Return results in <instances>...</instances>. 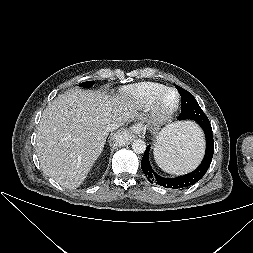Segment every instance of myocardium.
I'll return each instance as SVG.
<instances>
[{
    "label": "myocardium",
    "mask_w": 253,
    "mask_h": 253,
    "mask_svg": "<svg viewBox=\"0 0 253 253\" xmlns=\"http://www.w3.org/2000/svg\"><path fill=\"white\" fill-rule=\"evenodd\" d=\"M169 91H174L177 95L176 103L171 106L170 108H166L163 106V99L166 93ZM181 102V96L177 89L173 87H166L164 90H162L156 98L153 100L151 104V116L152 121L155 124H162L166 121H168L171 116L178 110Z\"/></svg>",
    "instance_id": "f54148a6"
}]
</instances>
